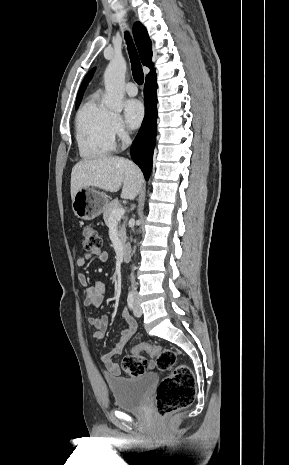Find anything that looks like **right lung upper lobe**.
Returning <instances> with one entry per match:
<instances>
[{
  "instance_id": "1",
  "label": "right lung upper lobe",
  "mask_w": 289,
  "mask_h": 465,
  "mask_svg": "<svg viewBox=\"0 0 289 465\" xmlns=\"http://www.w3.org/2000/svg\"><path fill=\"white\" fill-rule=\"evenodd\" d=\"M133 34H134L135 42H136V45H137V48H138V51H139V54H140V58H141V61H142L143 65H145V66H147V67H149L151 69V71H150L149 75L147 76V78L156 76L155 69H154V64L151 61V59H152V45H151V41L149 39L146 28L140 22H136L134 24V27H133ZM93 74H94V69H92L85 76V78H84V80H83V82H82V84H81V86L79 88L76 102L81 101L84 90H85L86 86L88 85V83L90 82V80L92 79Z\"/></svg>"
}]
</instances>
